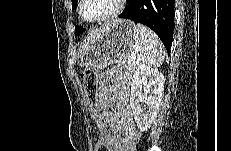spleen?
<instances>
[{
	"instance_id": "obj_1",
	"label": "spleen",
	"mask_w": 231,
	"mask_h": 151,
	"mask_svg": "<svg viewBox=\"0 0 231 151\" xmlns=\"http://www.w3.org/2000/svg\"><path fill=\"white\" fill-rule=\"evenodd\" d=\"M135 57L137 66L159 67L165 58L164 46L158 36L142 24L135 26Z\"/></svg>"
}]
</instances>
